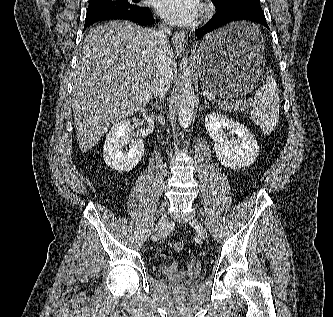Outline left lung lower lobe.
Wrapping results in <instances>:
<instances>
[{"mask_svg": "<svg viewBox=\"0 0 333 317\" xmlns=\"http://www.w3.org/2000/svg\"><path fill=\"white\" fill-rule=\"evenodd\" d=\"M252 21L269 29L264 12L260 5L239 6L233 8H217L214 16L202 27L195 31V35L201 38L205 34L221 28L235 21Z\"/></svg>", "mask_w": 333, "mask_h": 317, "instance_id": "left-lung-lower-lobe-1", "label": "left lung lower lobe"}]
</instances>
